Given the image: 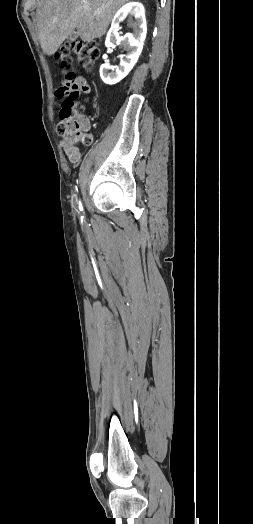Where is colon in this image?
<instances>
[{
  "label": "colon",
  "instance_id": "colon-1",
  "mask_svg": "<svg viewBox=\"0 0 253 524\" xmlns=\"http://www.w3.org/2000/svg\"><path fill=\"white\" fill-rule=\"evenodd\" d=\"M99 53V45L95 41L75 40L64 44L56 55L58 65L67 72L65 80L58 88L63 91L64 98L59 111L57 132L73 147L92 143V136L85 131L84 122L80 118L77 99L79 95L90 94L93 86L90 79L71 71L73 60L76 58L88 70Z\"/></svg>",
  "mask_w": 253,
  "mask_h": 524
}]
</instances>
